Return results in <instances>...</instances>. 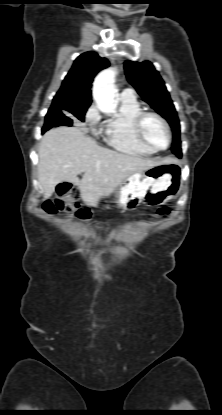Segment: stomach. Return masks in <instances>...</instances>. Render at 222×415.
<instances>
[{
    "label": "stomach",
    "instance_id": "stomach-1",
    "mask_svg": "<svg viewBox=\"0 0 222 415\" xmlns=\"http://www.w3.org/2000/svg\"><path fill=\"white\" fill-rule=\"evenodd\" d=\"M178 162L163 163L126 178L114 191V203L123 210H134L141 202L163 205L178 193L182 181ZM106 202V196H101Z\"/></svg>",
    "mask_w": 222,
    "mask_h": 415
}]
</instances>
